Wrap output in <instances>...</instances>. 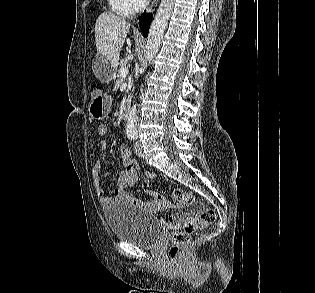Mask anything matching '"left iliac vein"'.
Instances as JSON below:
<instances>
[{
    "mask_svg": "<svg viewBox=\"0 0 315 293\" xmlns=\"http://www.w3.org/2000/svg\"><path fill=\"white\" fill-rule=\"evenodd\" d=\"M134 150L137 156L141 157L143 155V146L141 141L137 140L135 142Z\"/></svg>",
    "mask_w": 315,
    "mask_h": 293,
    "instance_id": "left-iliac-vein-1",
    "label": "left iliac vein"
}]
</instances>
